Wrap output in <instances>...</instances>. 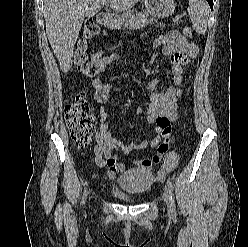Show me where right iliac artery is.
<instances>
[{"label":"right iliac artery","mask_w":248,"mask_h":247,"mask_svg":"<svg viewBox=\"0 0 248 247\" xmlns=\"http://www.w3.org/2000/svg\"><path fill=\"white\" fill-rule=\"evenodd\" d=\"M86 198H87V188H85L84 194H83V197H82V204L83 205L85 204Z\"/></svg>","instance_id":"obj_1"}]
</instances>
